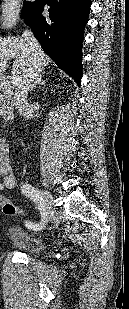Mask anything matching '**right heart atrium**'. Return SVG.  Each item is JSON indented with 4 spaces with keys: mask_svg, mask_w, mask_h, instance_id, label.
<instances>
[{
    "mask_svg": "<svg viewBox=\"0 0 129 309\" xmlns=\"http://www.w3.org/2000/svg\"><path fill=\"white\" fill-rule=\"evenodd\" d=\"M20 17L19 0L0 1V25L4 29L13 27Z\"/></svg>",
    "mask_w": 129,
    "mask_h": 309,
    "instance_id": "d8ad5b80",
    "label": "right heart atrium"
}]
</instances>
